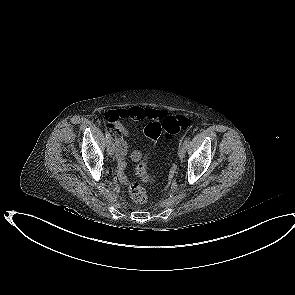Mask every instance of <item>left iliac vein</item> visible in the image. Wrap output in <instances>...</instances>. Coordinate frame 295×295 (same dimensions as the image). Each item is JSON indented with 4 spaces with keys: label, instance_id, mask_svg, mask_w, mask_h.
<instances>
[{
    "label": "left iliac vein",
    "instance_id": "left-iliac-vein-1",
    "mask_svg": "<svg viewBox=\"0 0 295 295\" xmlns=\"http://www.w3.org/2000/svg\"><path fill=\"white\" fill-rule=\"evenodd\" d=\"M186 148L187 146L186 145H182L179 150H178V156L180 159H183L184 156H185V153H186Z\"/></svg>",
    "mask_w": 295,
    "mask_h": 295
}]
</instances>
